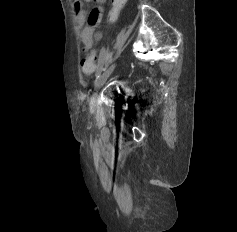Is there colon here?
I'll return each instance as SVG.
<instances>
[{"instance_id": "1", "label": "colon", "mask_w": 237, "mask_h": 232, "mask_svg": "<svg viewBox=\"0 0 237 232\" xmlns=\"http://www.w3.org/2000/svg\"><path fill=\"white\" fill-rule=\"evenodd\" d=\"M127 0H112V6L108 13V22L114 23L118 19L120 12L126 5ZM96 51L92 50L85 58L81 60V71L85 76L92 74L95 70Z\"/></svg>"}]
</instances>
